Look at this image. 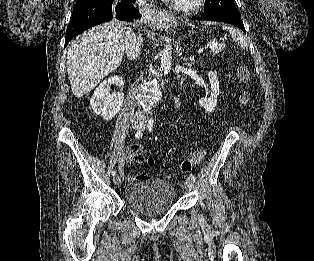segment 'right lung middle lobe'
I'll return each mask as SVG.
<instances>
[{"label":"right lung middle lobe","mask_w":314,"mask_h":261,"mask_svg":"<svg viewBox=\"0 0 314 261\" xmlns=\"http://www.w3.org/2000/svg\"><path fill=\"white\" fill-rule=\"evenodd\" d=\"M83 1H85V0H77V3H81V2H83Z\"/></svg>","instance_id":"obj_1"}]
</instances>
